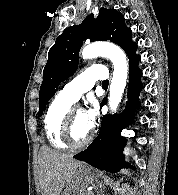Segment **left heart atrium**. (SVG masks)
Wrapping results in <instances>:
<instances>
[{"mask_svg":"<svg viewBox=\"0 0 178 195\" xmlns=\"http://www.w3.org/2000/svg\"><path fill=\"white\" fill-rule=\"evenodd\" d=\"M98 117V110L95 103L91 102L89 108L84 112V119L90 129H92L96 123Z\"/></svg>","mask_w":178,"mask_h":195,"instance_id":"1","label":"left heart atrium"}]
</instances>
